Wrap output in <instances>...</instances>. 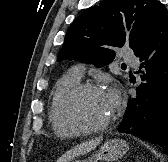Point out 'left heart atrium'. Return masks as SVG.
Returning <instances> with one entry per match:
<instances>
[{
    "mask_svg": "<svg viewBox=\"0 0 168 162\" xmlns=\"http://www.w3.org/2000/svg\"><path fill=\"white\" fill-rule=\"evenodd\" d=\"M106 95H107V97L110 101V104L114 110L119 103V94H118L117 90L113 89Z\"/></svg>",
    "mask_w": 168,
    "mask_h": 162,
    "instance_id": "1",
    "label": "left heart atrium"
}]
</instances>
